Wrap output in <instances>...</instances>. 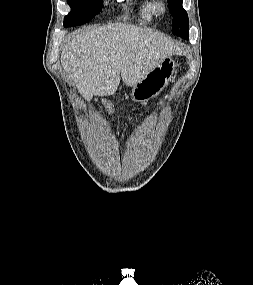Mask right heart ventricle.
Segmentation results:
<instances>
[{
	"label": "right heart ventricle",
	"mask_w": 253,
	"mask_h": 285,
	"mask_svg": "<svg viewBox=\"0 0 253 285\" xmlns=\"http://www.w3.org/2000/svg\"><path fill=\"white\" fill-rule=\"evenodd\" d=\"M139 17L144 21H150L154 15V5L149 0H140L138 6Z\"/></svg>",
	"instance_id": "e07e8e85"
}]
</instances>
